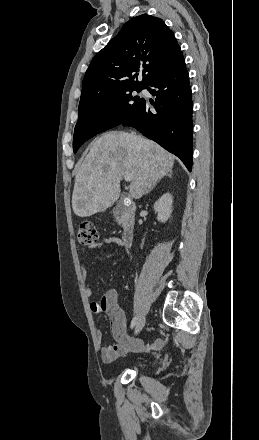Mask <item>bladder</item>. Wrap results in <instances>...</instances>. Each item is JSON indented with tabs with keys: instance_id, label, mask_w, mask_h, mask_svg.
Instances as JSON below:
<instances>
[{
	"instance_id": "1",
	"label": "bladder",
	"mask_w": 259,
	"mask_h": 440,
	"mask_svg": "<svg viewBox=\"0 0 259 440\" xmlns=\"http://www.w3.org/2000/svg\"><path fill=\"white\" fill-rule=\"evenodd\" d=\"M132 367L136 371H143L147 368V362L141 357H136L135 359H133Z\"/></svg>"
}]
</instances>
